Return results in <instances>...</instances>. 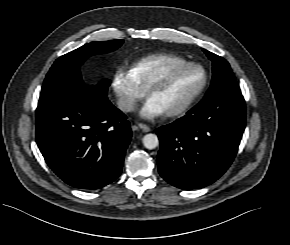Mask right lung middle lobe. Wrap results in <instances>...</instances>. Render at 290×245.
Segmentation results:
<instances>
[{
    "label": "right lung middle lobe",
    "instance_id": "obj_1",
    "mask_svg": "<svg viewBox=\"0 0 290 245\" xmlns=\"http://www.w3.org/2000/svg\"><path fill=\"white\" fill-rule=\"evenodd\" d=\"M123 40L91 42L59 57L50 68L40 94L39 102L67 97L86 86L81 78L80 66L90 56L104 54L118 49ZM110 80L105 79L96 86H91L96 92L106 95Z\"/></svg>",
    "mask_w": 290,
    "mask_h": 245
}]
</instances>
